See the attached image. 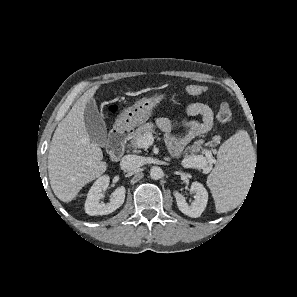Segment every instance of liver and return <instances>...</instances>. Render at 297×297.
<instances>
[{
  "mask_svg": "<svg viewBox=\"0 0 297 297\" xmlns=\"http://www.w3.org/2000/svg\"><path fill=\"white\" fill-rule=\"evenodd\" d=\"M99 86L87 90L58 124L48 155V173L54 194L62 202H71L89 182L107 169L100 146L88 135L84 123L87 102Z\"/></svg>",
  "mask_w": 297,
  "mask_h": 297,
  "instance_id": "obj_1",
  "label": "liver"
}]
</instances>
